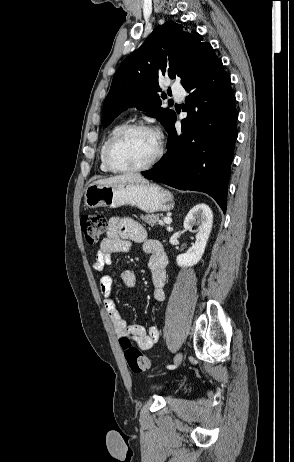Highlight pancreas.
Listing matches in <instances>:
<instances>
[{
  "instance_id": "1",
  "label": "pancreas",
  "mask_w": 294,
  "mask_h": 462,
  "mask_svg": "<svg viewBox=\"0 0 294 462\" xmlns=\"http://www.w3.org/2000/svg\"><path fill=\"white\" fill-rule=\"evenodd\" d=\"M141 219L143 221H145L147 224L151 225V226H154L156 224H158V221H159V216L158 215H149V214H146V215H142L141 216Z\"/></svg>"
}]
</instances>
